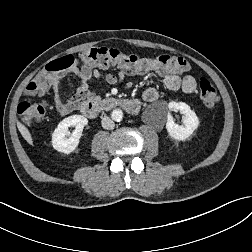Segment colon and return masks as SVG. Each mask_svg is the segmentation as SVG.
<instances>
[{"instance_id": "obj_1", "label": "colon", "mask_w": 252, "mask_h": 252, "mask_svg": "<svg viewBox=\"0 0 252 252\" xmlns=\"http://www.w3.org/2000/svg\"><path fill=\"white\" fill-rule=\"evenodd\" d=\"M83 65L98 68L117 67L128 73L147 72L184 73L189 70V63L182 57L158 55L142 57L133 53H123L107 47H93L79 54ZM75 64V59L64 56L49 62L27 85L26 95L18 105V114L22 121L31 125L39 122L45 115L47 101H34V96L43 95L51 85ZM199 96L203 104L213 110L219 102L218 93L213 84L205 77L199 79Z\"/></svg>"}]
</instances>
